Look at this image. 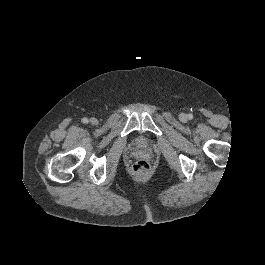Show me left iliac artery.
<instances>
[{
	"mask_svg": "<svg viewBox=\"0 0 265 265\" xmlns=\"http://www.w3.org/2000/svg\"><path fill=\"white\" fill-rule=\"evenodd\" d=\"M188 119L192 120L193 119V115L192 114H188Z\"/></svg>",
	"mask_w": 265,
	"mask_h": 265,
	"instance_id": "44dca946",
	"label": "left iliac artery"
}]
</instances>
